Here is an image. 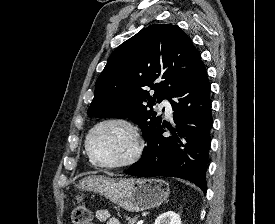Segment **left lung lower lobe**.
Segmentation results:
<instances>
[{
  "instance_id": "obj_1",
  "label": "left lung lower lobe",
  "mask_w": 275,
  "mask_h": 224,
  "mask_svg": "<svg viewBox=\"0 0 275 224\" xmlns=\"http://www.w3.org/2000/svg\"><path fill=\"white\" fill-rule=\"evenodd\" d=\"M210 90L203 66L169 99L174 111L175 128L161 123L145 138L147 145L140 161L125 173L138 177L183 178L197 184L206 193V169L213 122ZM165 128L170 130L171 136L162 135Z\"/></svg>"
}]
</instances>
